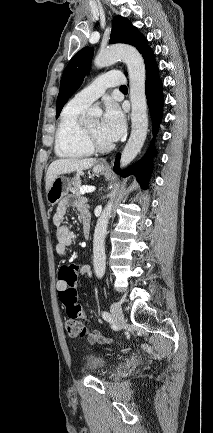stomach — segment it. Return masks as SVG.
Instances as JSON below:
<instances>
[{"mask_svg":"<svg viewBox=\"0 0 213 433\" xmlns=\"http://www.w3.org/2000/svg\"><path fill=\"white\" fill-rule=\"evenodd\" d=\"M109 171L107 167L97 164L93 167V172L96 174H106ZM70 180L65 176H58L46 191V199L50 205L59 203L70 190Z\"/></svg>","mask_w":213,"mask_h":433,"instance_id":"obj_1","label":"stomach"}]
</instances>
